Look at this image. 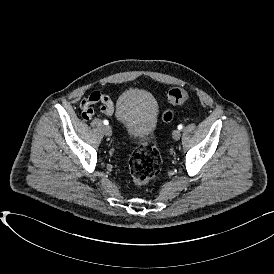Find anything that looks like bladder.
Masks as SVG:
<instances>
[{"label": "bladder", "mask_w": 274, "mask_h": 274, "mask_svg": "<svg viewBox=\"0 0 274 274\" xmlns=\"http://www.w3.org/2000/svg\"><path fill=\"white\" fill-rule=\"evenodd\" d=\"M115 117L130 138L148 139L157 126L156 101L146 90L129 89L118 98Z\"/></svg>", "instance_id": "bladder-1"}]
</instances>
